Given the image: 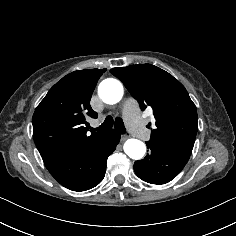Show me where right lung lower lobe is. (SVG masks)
Returning a JSON list of instances; mask_svg holds the SVG:
<instances>
[{
  "mask_svg": "<svg viewBox=\"0 0 236 236\" xmlns=\"http://www.w3.org/2000/svg\"><path fill=\"white\" fill-rule=\"evenodd\" d=\"M119 140L120 134L110 130L96 141L46 162L45 166L64 187L73 191L91 189L104 178L107 158Z\"/></svg>",
  "mask_w": 236,
  "mask_h": 236,
  "instance_id": "1",
  "label": "right lung lower lobe"
}]
</instances>
